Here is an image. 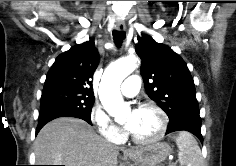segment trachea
Wrapping results in <instances>:
<instances>
[{
    "label": "trachea",
    "mask_w": 236,
    "mask_h": 166,
    "mask_svg": "<svg viewBox=\"0 0 236 166\" xmlns=\"http://www.w3.org/2000/svg\"><path fill=\"white\" fill-rule=\"evenodd\" d=\"M113 40L116 44L117 47H120L123 40L125 39V34L124 32H120V31H117V30H113Z\"/></svg>",
    "instance_id": "trachea-1"
}]
</instances>
